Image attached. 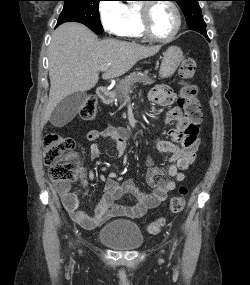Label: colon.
<instances>
[{"label": "colon", "mask_w": 250, "mask_h": 285, "mask_svg": "<svg viewBox=\"0 0 250 285\" xmlns=\"http://www.w3.org/2000/svg\"><path fill=\"white\" fill-rule=\"evenodd\" d=\"M197 64L193 58H185L180 67L179 75L184 81L182 87V110L191 125H197L201 120V107L196 98L197 88L188 83L196 73ZM97 114L96 102L87 98L80 109L83 119H93ZM44 161L49 168L50 177L55 182L71 183L76 179L80 167V159L75 152L74 141L57 133H49L44 139ZM186 188L180 189V194L170 200L169 210L173 214L180 213L185 207ZM165 224L163 218L157 219L147 226L150 234H158Z\"/></svg>", "instance_id": "1"}]
</instances>
